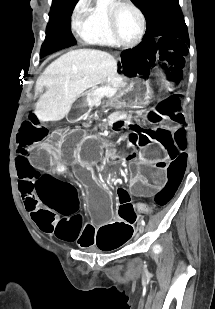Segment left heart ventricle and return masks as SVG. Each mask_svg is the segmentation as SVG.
I'll list each match as a JSON object with an SVG mask.
<instances>
[{
	"label": "left heart ventricle",
	"mask_w": 215,
	"mask_h": 309,
	"mask_svg": "<svg viewBox=\"0 0 215 309\" xmlns=\"http://www.w3.org/2000/svg\"><path fill=\"white\" fill-rule=\"evenodd\" d=\"M114 13L119 14V19L116 22H119L117 29L118 34H120V41H129L131 40L136 32V20L134 14L127 9H120Z\"/></svg>",
	"instance_id": "obj_1"
}]
</instances>
